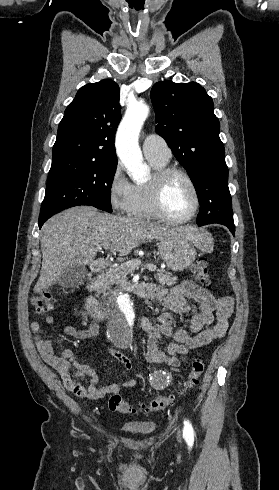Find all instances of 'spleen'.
Instances as JSON below:
<instances>
[{
	"instance_id": "spleen-1",
	"label": "spleen",
	"mask_w": 279,
	"mask_h": 490,
	"mask_svg": "<svg viewBox=\"0 0 279 490\" xmlns=\"http://www.w3.org/2000/svg\"><path fill=\"white\" fill-rule=\"evenodd\" d=\"M201 244L202 252H206V254H210V252H213V244L208 232H201Z\"/></svg>"
}]
</instances>
